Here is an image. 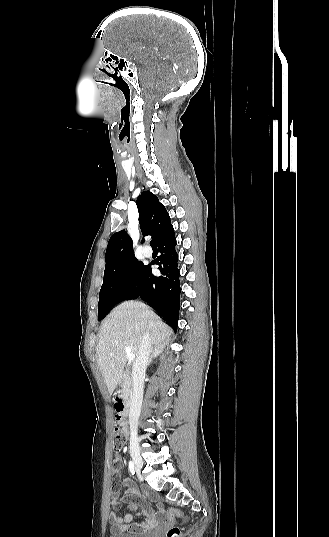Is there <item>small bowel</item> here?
Listing matches in <instances>:
<instances>
[{"instance_id": "1", "label": "small bowel", "mask_w": 329, "mask_h": 537, "mask_svg": "<svg viewBox=\"0 0 329 537\" xmlns=\"http://www.w3.org/2000/svg\"><path fill=\"white\" fill-rule=\"evenodd\" d=\"M115 420L117 422H120L122 420V417L119 415V413H116ZM124 430L128 434V428L126 425H123ZM114 467L112 470L113 476H116L117 474V467L116 464L120 463L121 458L118 454L115 455L114 458ZM123 487L125 488V494L128 497V506L133 509L141 508V512L139 513V516L143 517L142 521L139 522H133V515L130 513L124 514L123 516H119L115 512H110L108 514V520L110 524L112 525L111 530L113 532H131V533H137V532H144L148 531L156 525L158 520H163L165 517V512L162 508H159L157 511H154L147 502L142 498L138 487L135 485L134 482L130 480H126L122 483ZM155 499L154 497H152ZM120 503V490L119 488H113L112 494H111V501L110 505L112 507L118 506Z\"/></svg>"}]
</instances>
